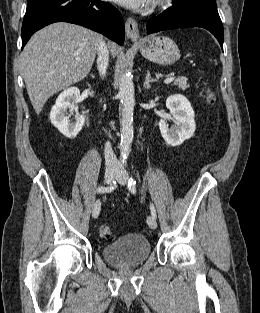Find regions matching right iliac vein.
I'll return each mask as SVG.
<instances>
[{
    "label": "right iliac vein",
    "instance_id": "1",
    "mask_svg": "<svg viewBox=\"0 0 260 313\" xmlns=\"http://www.w3.org/2000/svg\"><path fill=\"white\" fill-rule=\"evenodd\" d=\"M115 174H116V169L107 168L105 171L104 182L106 184H110L113 181ZM100 210H101L100 200H96V202L93 204V207H92V217L97 218L100 213Z\"/></svg>",
    "mask_w": 260,
    "mask_h": 313
}]
</instances>
